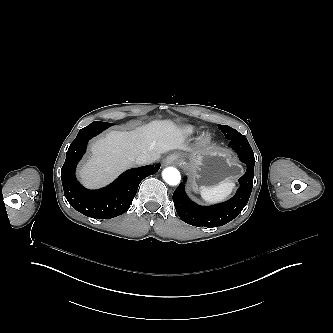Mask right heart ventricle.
I'll use <instances>...</instances> for the list:
<instances>
[{"label":"right heart ventricle","instance_id":"obj_1","mask_svg":"<svg viewBox=\"0 0 333 333\" xmlns=\"http://www.w3.org/2000/svg\"><path fill=\"white\" fill-rule=\"evenodd\" d=\"M193 131H194V129L192 127H185L183 129V134L189 135V134L193 133Z\"/></svg>","mask_w":333,"mask_h":333}]
</instances>
